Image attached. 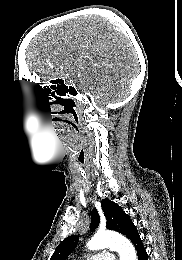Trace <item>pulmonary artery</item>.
Instances as JSON below:
<instances>
[{
    "instance_id": "1",
    "label": "pulmonary artery",
    "mask_w": 182,
    "mask_h": 260,
    "mask_svg": "<svg viewBox=\"0 0 182 260\" xmlns=\"http://www.w3.org/2000/svg\"><path fill=\"white\" fill-rule=\"evenodd\" d=\"M88 260H113V255L108 252L98 253Z\"/></svg>"
}]
</instances>
